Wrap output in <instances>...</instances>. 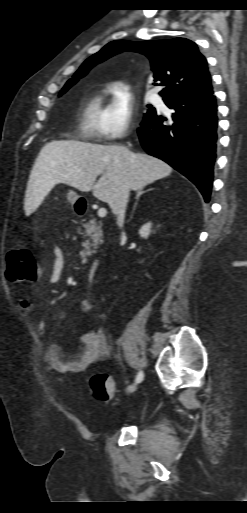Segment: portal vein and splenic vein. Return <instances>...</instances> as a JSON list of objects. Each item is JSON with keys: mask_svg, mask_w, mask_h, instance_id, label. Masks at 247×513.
Masks as SVG:
<instances>
[{"mask_svg": "<svg viewBox=\"0 0 247 513\" xmlns=\"http://www.w3.org/2000/svg\"><path fill=\"white\" fill-rule=\"evenodd\" d=\"M106 214H107V211H106V209H105V208H100V209L98 210V216H99V217H105V216H106Z\"/></svg>", "mask_w": 247, "mask_h": 513, "instance_id": "obj_1", "label": "portal vein and splenic vein"}]
</instances>
